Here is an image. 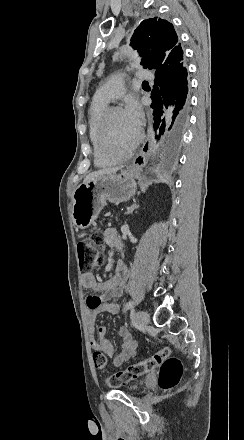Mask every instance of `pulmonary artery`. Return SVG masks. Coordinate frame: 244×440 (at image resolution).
<instances>
[{"mask_svg":"<svg viewBox=\"0 0 244 440\" xmlns=\"http://www.w3.org/2000/svg\"><path fill=\"white\" fill-rule=\"evenodd\" d=\"M139 77L145 78L148 75L147 70L141 69L138 72ZM103 90H95L93 95L94 102H106L109 103L112 99H120L121 92L124 89L123 82H120L119 76L113 77V82H103Z\"/></svg>","mask_w":244,"mask_h":440,"instance_id":"pulmonary-artery-1","label":"pulmonary artery"}]
</instances>
